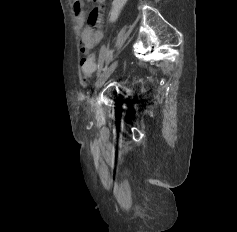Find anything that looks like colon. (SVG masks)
<instances>
[{"mask_svg":"<svg viewBox=\"0 0 237 232\" xmlns=\"http://www.w3.org/2000/svg\"><path fill=\"white\" fill-rule=\"evenodd\" d=\"M127 0H112V6L108 14L109 22H115L122 9L126 5ZM81 72L83 74V81H86V78L91 76L92 73L95 71L96 64H95V56L94 54L89 55L81 60Z\"/></svg>","mask_w":237,"mask_h":232,"instance_id":"1","label":"colon"}]
</instances>
